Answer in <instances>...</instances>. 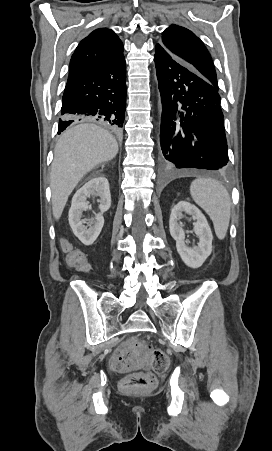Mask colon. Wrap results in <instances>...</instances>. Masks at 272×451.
Listing matches in <instances>:
<instances>
[{
	"label": "colon",
	"instance_id": "1",
	"mask_svg": "<svg viewBox=\"0 0 272 451\" xmlns=\"http://www.w3.org/2000/svg\"><path fill=\"white\" fill-rule=\"evenodd\" d=\"M62 247L67 252L69 260H72L73 271H86L87 265L83 259V253L78 247L62 241ZM141 348L132 354H125L124 351L118 352L113 358V365L116 370H120V374H127V378L123 382L124 388L140 386L147 389L157 386V378L155 373L164 372L168 365L169 359L164 352H160L158 345L152 342H142ZM160 352V353H159ZM151 365L153 372H137V366Z\"/></svg>",
	"mask_w": 272,
	"mask_h": 451
}]
</instances>
